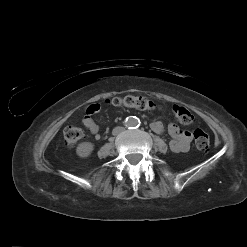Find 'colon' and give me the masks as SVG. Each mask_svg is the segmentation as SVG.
Segmentation results:
<instances>
[{"label": "colon", "instance_id": "5ec220e1", "mask_svg": "<svg viewBox=\"0 0 247 247\" xmlns=\"http://www.w3.org/2000/svg\"><path fill=\"white\" fill-rule=\"evenodd\" d=\"M116 107L134 108L141 111L151 112L155 109V104L146 97L126 95L124 97H115L109 101ZM173 113L178 122L183 125H190L194 121L193 114L185 107L175 105ZM195 146L199 150H207L210 145L209 135L202 129H196L193 132ZM83 137L81 129L69 126L64 130V142L68 147L75 146Z\"/></svg>", "mask_w": 247, "mask_h": 247}]
</instances>
